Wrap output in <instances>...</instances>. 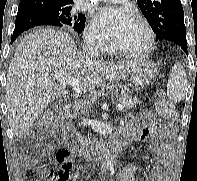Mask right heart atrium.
Returning <instances> with one entry per match:
<instances>
[{"instance_id": "d8ad5b80", "label": "right heart atrium", "mask_w": 197, "mask_h": 181, "mask_svg": "<svg viewBox=\"0 0 197 181\" xmlns=\"http://www.w3.org/2000/svg\"><path fill=\"white\" fill-rule=\"evenodd\" d=\"M87 42L94 48L105 50L109 45L108 36L99 28L95 22H91L85 31Z\"/></svg>"}]
</instances>
